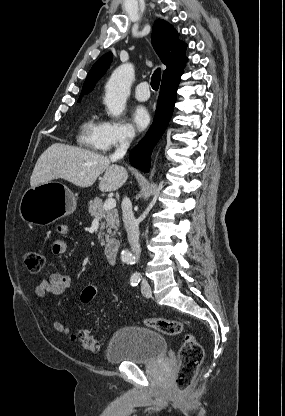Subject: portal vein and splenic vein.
<instances>
[{
	"label": "portal vein and splenic vein",
	"instance_id": "1",
	"mask_svg": "<svg viewBox=\"0 0 285 416\" xmlns=\"http://www.w3.org/2000/svg\"><path fill=\"white\" fill-rule=\"evenodd\" d=\"M113 208H116V200L108 198L103 206V210H113Z\"/></svg>",
	"mask_w": 285,
	"mask_h": 416
}]
</instances>
